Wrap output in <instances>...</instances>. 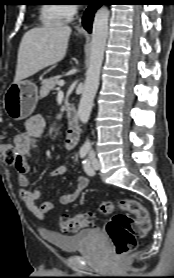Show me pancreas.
Wrapping results in <instances>:
<instances>
[{"instance_id":"obj_1","label":"pancreas","mask_w":174,"mask_h":278,"mask_svg":"<svg viewBox=\"0 0 174 278\" xmlns=\"http://www.w3.org/2000/svg\"><path fill=\"white\" fill-rule=\"evenodd\" d=\"M58 78L57 77H53V78H49L46 79L44 81H42V86H41V90H40V98H44L46 97L50 91H52L55 86L58 84Z\"/></svg>"}]
</instances>
